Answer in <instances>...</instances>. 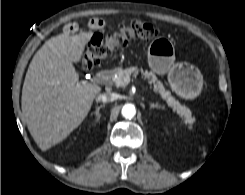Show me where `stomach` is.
<instances>
[{
    "label": "stomach",
    "mask_w": 245,
    "mask_h": 195,
    "mask_svg": "<svg viewBox=\"0 0 245 195\" xmlns=\"http://www.w3.org/2000/svg\"><path fill=\"white\" fill-rule=\"evenodd\" d=\"M173 44L163 38L153 40L148 48V63L157 74H168L172 90L184 99H194L202 91L203 77L199 69L188 63H175Z\"/></svg>",
    "instance_id": "0dacf381"
}]
</instances>
